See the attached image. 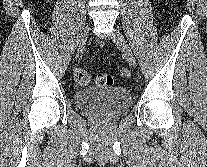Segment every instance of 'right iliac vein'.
<instances>
[{"mask_svg":"<svg viewBox=\"0 0 207 167\" xmlns=\"http://www.w3.org/2000/svg\"><path fill=\"white\" fill-rule=\"evenodd\" d=\"M89 30H90V28L87 25L83 31L82 38L80 40L79 47L77 50V54H80L85 49V44H86V40H87V37L89 34Z\"/></svg>","mask_w":207,"mask_h":167,"instance_id":"obj_1","label":"right iliac vein"}]
</instances>
